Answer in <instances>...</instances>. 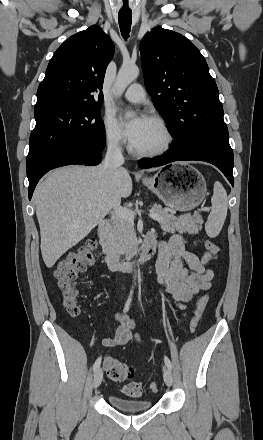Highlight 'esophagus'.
Segmentation results:
<instances>
[{
	"instance_id": "34e87169",
	"label": "esophagus",
	"mask_w": 263,
	"mask_h": 440,
	"mask_svg": "<svg viewBox=\"0 0 263 440\" xmlns=\"http://www.w3.org/2000/svg\"><path fill=\"white\" fill-rule=\"evenodd\" d=\"M136 175H137V176H140L141 174H140V173H137Z\"/></svg>"
}]
</instances>
